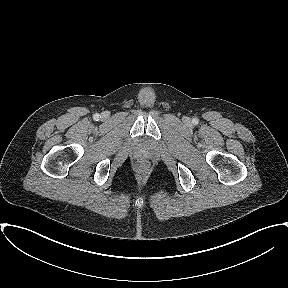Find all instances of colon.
I'll return each instance as SVG.
<instances>
[{"instance_id": "1", "label": "colon", "mask_w": 288, "mask_h": 288, "mask_svg": "<svg viewBox=\"0 0 288 288\" xmlns=\"http://www.w3.org/2000/svg\"><path fill=\"white\" fill-rule=\"evenodd\" d=\"M149 166V164L146 162V161H139L137 162L136 164V167L137 168H140V169H145Z\"/></svg>"}]
</instances>
